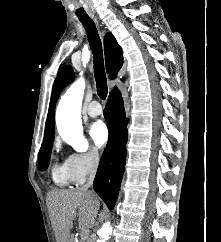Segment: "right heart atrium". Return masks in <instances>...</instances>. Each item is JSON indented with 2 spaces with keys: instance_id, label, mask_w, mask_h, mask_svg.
<instances>
[{
  "instance_id": "right-heart-atrium-1",
  "label": "right heart atrium",
  "mask_w": 221,
  "mask_h": 242,
  "mask_svg": "<svg viewBox=\"0 0 221 242\" xmlns=\"http://www.w3.org/2000/svg\"><path fill=\"white\" fill-rule=\"evenodd\" d=\"M100 155L97 149L69 153L64 160L72 182H81L98 169Z\"/></svg>"
}]
</instances>
